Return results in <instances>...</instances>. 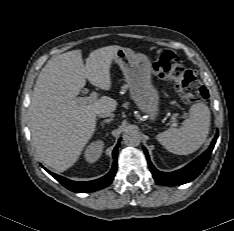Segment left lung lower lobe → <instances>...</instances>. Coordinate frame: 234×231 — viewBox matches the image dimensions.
Wrapping results in <instances>:
<instances>
[{"label": "left lung lower lobe", "mask_w": 234, "mask_h": 231, "mask_svg": "<svg viewBox=\"0 0 234 231\" xmlns=\"http://www.w3.org/2000/svg\"><path fill=\"white\" fill-rule=\"evenodd\" d=\"M218 137V132L216 133L210 147L207 151H205L202 155H200L197 159L186 165L184 168L174 171V172H160L158 171L151 163L148 152L146 148H144V152L152 172V175L155 181L161 185L166 186H176L181 185L195 179L203 170L205 165L207 164L214 145L216 143Z\"/></svg>", "instance_id": "1"}]
</instances>
